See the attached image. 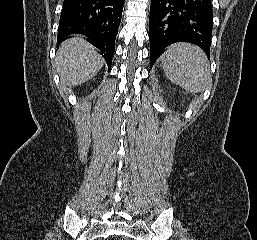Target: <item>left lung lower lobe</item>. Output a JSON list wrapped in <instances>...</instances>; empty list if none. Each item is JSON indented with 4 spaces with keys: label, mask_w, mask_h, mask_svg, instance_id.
Instances as JSON below:
<instances>
[{
    "label": "left lung lower lobe",
    "mask_w": 257,
    "mask_h": 240,
    "mask_svg": "<svg viewBox=\"0 0 257 240\" xmlns=\"http://www.w3.org/2000/svg\"><path fill=\"white\" fill-rule=\"evenodd\" d=\"M212 27L211 0H151L150 68L164 49L176 42L195 44L209 58Z\"/></svg>",
    "instance_id": "left-lung-lower-lobe-1"
}]
</instances>
